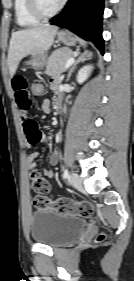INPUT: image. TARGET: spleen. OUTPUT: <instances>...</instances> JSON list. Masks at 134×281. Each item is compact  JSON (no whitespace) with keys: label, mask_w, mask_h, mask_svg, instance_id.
<instances>
[{"label":"spleen","mask_w":134,"mask_h":281,"mask_svg":"<svg viewBox=\"0 0 134 281\" xmlns=\"http://www.w3.org/2000/svg\"><path fill=\"white\" fill-rule=\"evenodd\" d=\"M80 43L82 46H84V47L86 46V43L83 40H81Z\"/></svg>","instance_id":"3e777b00"}]
</instances>
